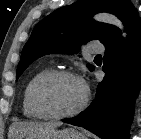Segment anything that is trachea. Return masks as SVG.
Returning a JSON list of instances; mask_svg holds the SVG:
<instances>
[{
    "label": "trachea",
    "mask_w": 141,
    "mask_h": 139,
    "mask_svg": "<svg viewBox=\"0 0 141 139\" xmlns=\"http://www.w3.org/2000/svg\"><path fill=\"white\" fill-rule=\"evenodd\" d=\"M96 58H102V56L101 55H97Z\"/></svg>",
    "instance_id": "obj_1"
}]
</instances>
